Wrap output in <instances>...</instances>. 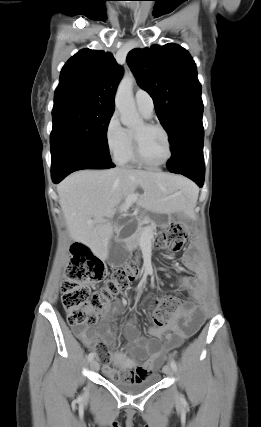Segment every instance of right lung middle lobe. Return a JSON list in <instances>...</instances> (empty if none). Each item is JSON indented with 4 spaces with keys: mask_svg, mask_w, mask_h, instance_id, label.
Wrapping results in <instances>:
<instances>
[{
    "mask_svg": "<svg viewBox=\"0 0 261 427\" xmlns=\"http://www.w3.org/2000/svg\"><path fill=\"white\" fill-rule=\"evenodd\" d=\"M113 110L87 106L53 109L52 160L68 154L108 159L107 128Z\"/></svg>",
    "mask_w": 261,
    "mask_h": 427,
    "instance_id": "1",
    "label": "right lung middle lobe"
}]
</instances>
